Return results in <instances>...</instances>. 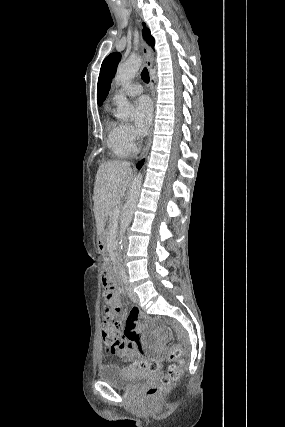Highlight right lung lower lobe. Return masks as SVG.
<instances>
[{
  "label": "right lung lower lobe",
  "instance_id": "98d812e1",
  "mask_svg": "<svg viewBox=\"0 0 285 427\" xmlns=\"http://www.w3.org/2000/svg\"><path fill=\"white\" fill-rule=\"evenodd\" d=\"M143 163H144V160L140 161V162L137 164V168H138V169H140V167L143 165Z\"/></svg>",
  "mask_w": 285,
  "mask_h": 427
}]
</instances>
